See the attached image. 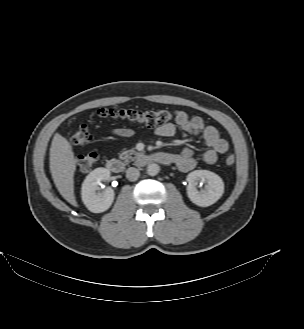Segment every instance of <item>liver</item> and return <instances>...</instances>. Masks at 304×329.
Wrapping results in <instances>:
<instances>
[{
    "instance_id": "liver-1",
    "label": "liver",
    "mask_w": 304,
    "mask_h": 329,
    "mask_svg": "<svg viewBox=\"0 0 304 329\" xmlns=\"http://www.w3.org/2000/svg\"><path fill=\"white\" fill-rule=\"evenodd\" d=\"M50 172L54 184L71 205L77 206L74 194V173L77 161L72 145L60 134H55L50 147Z\"/></svg>"
}]
</instances>
